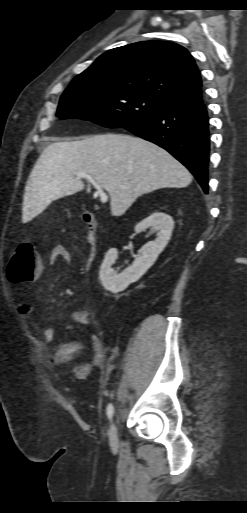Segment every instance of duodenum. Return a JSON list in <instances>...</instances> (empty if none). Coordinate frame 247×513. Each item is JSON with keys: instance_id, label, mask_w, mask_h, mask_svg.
<instances>
[{"instance_id": "duodenum-1", "label": "duodenum", "mask_w": 247, "mask_h": 513, "mask_svg": "<svg viewBox=\"0 0 247 513\" xmlns=\"http://www.w3.org/2000/svg\"><path fill=\"white\" fill-rule=\"evenodd\" d=\"M82 221L87 228V242L89 245V258L94 261L97 255V221L95 215L91 212L82 214Z\"/></svg>"}]
</instances>
